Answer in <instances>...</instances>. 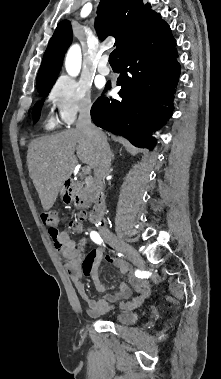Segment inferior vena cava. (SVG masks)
<instances>
[{"label":"inferior vena cava","instance_id":"obj_1","mask_svg":"<svg viewBox=\"0 0 221 379\" xmlns=\"http://www.w3.org/2000/svg\"><path fill=\"white\" fill-rule=\"evenodd\" d=\"M90 105L81 108L76 123V128L83 130L92 136L97 142V157L94 168V175L97 182H102L109 173L112 153L105 134L96 128L91 122Z\"/></svg>","mask_w":221,"mask_h":379}]
</instances>
